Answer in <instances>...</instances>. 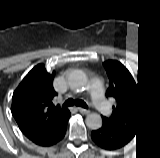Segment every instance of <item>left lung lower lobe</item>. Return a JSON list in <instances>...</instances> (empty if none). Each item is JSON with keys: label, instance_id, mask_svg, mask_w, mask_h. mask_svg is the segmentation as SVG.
Wrapping results in <instances>:
<instances>
[{"label": "left lung lower lobe", "instance_id": "1", "mask_svg": "<svg viewBox=\"0 0 160 158\" xmlns=\"http://www.w3.org/2000/svg\"><path fill=\"white\" fill-rule=\"evenodd\" d=\"M135 135L103 122L102 126L92 131L91 138L99 146L107 149L119 148L129 142Z\"/></svg>", "mask_w": 160, "mask_h": 158}]
</instances>
